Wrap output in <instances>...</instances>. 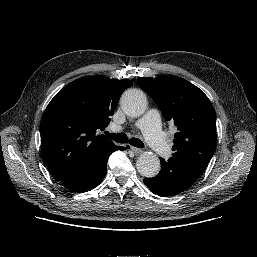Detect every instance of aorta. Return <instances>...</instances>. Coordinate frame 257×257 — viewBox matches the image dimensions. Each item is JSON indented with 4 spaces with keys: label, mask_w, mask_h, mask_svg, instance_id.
<instances>
[{
    "label": "aorta",
    "mask_w": 257,
    "mask_h": 257,
    "mask_svg": "<svg viewBox=\"0 0 257 257\" xmlns=\"http://www.w3.org/2000/svg\"><path fill=\"white\" fill-rule=\"evenodd\" d=\"M122 110L131 117L141 116L147 108L146 95L137 89H130L124 92L120 100ZM136 168L140 175L152 178L160 170L159 158L150 152L142 154L136 162Z\"/></svg>",
    "instance_id": "aorta-1"
}]
</instances>
